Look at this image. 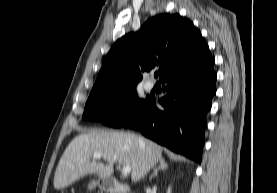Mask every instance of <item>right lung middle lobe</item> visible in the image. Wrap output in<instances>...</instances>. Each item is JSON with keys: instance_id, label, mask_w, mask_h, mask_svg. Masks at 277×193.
<instances>
[{"instance_id": "obj_1", "label": "right lung middle lobe", "mask_w": 277, "mask_h": 193, "mask_svg": "<svg viewBox=\"0 0 277 193\" xmlns=\"http://www.w3.org/2000/svg\"><path fill=\"white\" fill-rule=\"evenodd\" d=\"M150 97L147 96L145 100L139 99L136 86L90 94L82 118L120 128Z\"/></svg>"}]
</instances>
